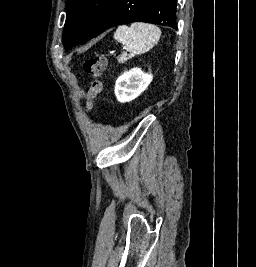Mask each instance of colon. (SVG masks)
<instances>
[{
  "instance_id": "1",
  "label": "colon",
  "mask_w": 256,
  "mask_h": 267,
  "mask_svg": "<svg viewBox=\"0 0 256 267\" xmlns=\"http://www.w3.org/2000/svg\"><path fill=\"white\" fill-rule=\"evenodd\" d=\"M108 61L103 56L87 58L84 62V72L92 77L90 84V99L85 102V107L90 108L95 98L103 91L102 76L106 72Z\"/></svg>"
}]
</instances>
